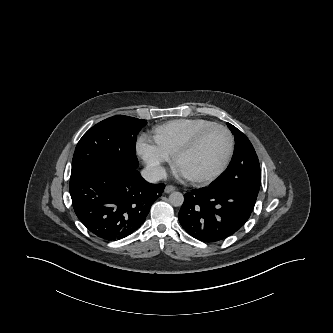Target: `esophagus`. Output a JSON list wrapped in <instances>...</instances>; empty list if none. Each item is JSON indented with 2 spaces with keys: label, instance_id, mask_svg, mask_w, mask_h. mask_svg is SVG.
<instances>
[{
  "label": "esophagus",
  "instance_id": "34e87169",
  "mask_svg": "<svg viewBox=\"0 0 333 333\" xmlns=\"http://www.w3.org/2000/svg\"><path fill=\"white\" fill-rule=\"evenodd\" d=\"M173 191H175V187L172 186V185H167V186L165 187V189H164V192H165V193H171V192H173Z\"/></svg>",
  "mask_w": 333,
  "mask_h": 333
}]
</instances>
